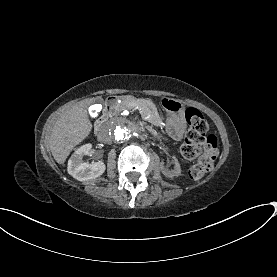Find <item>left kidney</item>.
<instances>
[{
	"label": "left kidney",
	"instance_id": "5707ae66",
	"mask_svg": "<svg viewBox=\"0 0 277 277\" xmlns=\"http://www.w3.org/2000/svg\"><path fill=\"white\" fill-rule=\"evenodd\" d=\"M174 169L171 171H167L164 168H161V172L163 173L164 176L168 178H172L174 176H179L181 174V166L178 161V159L174 156Z\"/></svg>",
	"mask_w": 277,
	"mask_h": 277
}]
</instances>
